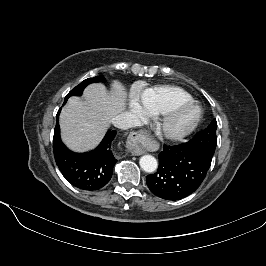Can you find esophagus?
<instances>
[{"instance_id": "1", "label": "esophagus", "mask_w": 266, "mask_h": 266, "mask_svg": "<svg viewBox=\"0 0 266 266\" xmlns=\"http://www.w3.org/2000/svg\"><path fill=\"white\" fill-rule=\"evenodd\" d=\"M147 136L144 132H134L127 139V148L132 155L138 156L144 154V143Z\"/></svg>"}]
</instances>
